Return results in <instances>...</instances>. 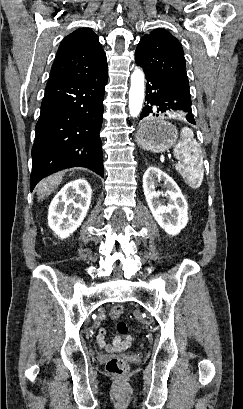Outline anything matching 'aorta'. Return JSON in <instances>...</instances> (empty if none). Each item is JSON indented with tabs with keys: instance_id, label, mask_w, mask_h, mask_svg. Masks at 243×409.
<instances>
[{
	"instance_id": "762f6f07",
	"label": "aorta",
	"mask_w": 243,
	"mask_h": 409,
	"mask_svg": "<svg viewBox=\"0 0 243 409\" xmlns=\"http://www.w3.org/2000/svg\"><path fill=\"white\" fill-rule=\"evenodd\" d=\"M145 76L143 71L136 67L131 75L129 90V113L131 117H137L141 110L145 97Z\"/></svg>"
}]
</instances>
